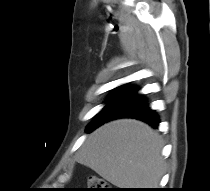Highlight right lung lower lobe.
Instances as JSON below:
<instances>
[{"instance_id":"98d812e1","label":"right lung lower lobe","mask_w":210,"mask_h":191,"mask_svg":"<svg viewBox=\"0 0 210 191\" xmlns=\"http://www.w3.org/2000/svg\"><path fill=\"white\" fill-rule=\"evenodd\" d=\"M138 88L123 85L116 89L108 104L101 110L96 118L95 125L88 130L93 131L100 125L118 118H135L144 121L154 128L159 124V117L150 109L145 99L138 94Z\"/></svg>"}]
</instances>
